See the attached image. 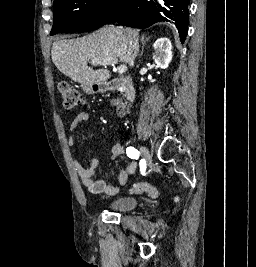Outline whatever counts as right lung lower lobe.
<instances>
[{
  "mask_svg": "<svg viewBox=\"0 0 256 267\" xmlns=\"http://www.w3.org/2000/svg\"><path fill=\"white\" fill-rule=\"evenodd\" d=\"M190 0H131L124 14L112 22L133 28H147L154 23L167 21L175 24L184 43L189 19Z\"/></svg>",
  "mask_w": 256,
  "mask_h": 267,
  "instance_id": "98d812e1",
  "label": "right lung lower lobe"
}]
</instances>
